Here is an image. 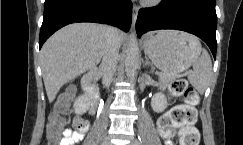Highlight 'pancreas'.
<instances>
[{
	"label": "pancreas",
	"mask_w": 243,
	"mask_h": 145,
	"mask_svg": "<svg viewBox=\"0 0 243 145\" xmlns=\"http://www.w3.org/2000/svg\"><path fill=\"white\" fill-rule=\"evenodd\" d=\"M174 79V77L172 75H161L160 76V83L162 85H168L172 80Z\"/></svg>",
	"instance_id": "cf45deb5"
}]
</instances>
